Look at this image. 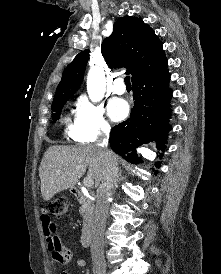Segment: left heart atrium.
Returning <instances> with one entry per match:
<instances>
[{"label":"left heart atrium","instance_id":"39dd6f15","mask_svg":"<svg viewBox=\"0 0 221 274\" xmlns=\"http://www.w3.org/2000/svg\"><path fill=\"white\" fill-rule=\"evenodd\" d=\"M108 114L114 121L123 120L129 113L128 103L121 98H113L108 103Z\"/></svg>","mask_w":221,"mask_h":274}]
</instances>
